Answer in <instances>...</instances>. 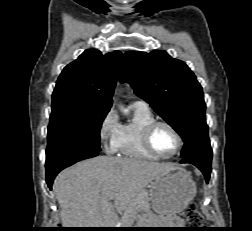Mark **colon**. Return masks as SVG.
Instances as JSON below:
<instances>
[{"mask_svg":"<svg viewBox=\"0 0 252 231\" xmlns=\"http://www.w3.org/2000/svg\"><path fill=\"white\" fill-rule=\"evenodd\" d=\"M186 221L192 227L201 226L204 222L202 215L198 212L195 205H190L186 214Z\"/></svg>","mask_w":252,"mask_h":231,"instance_id":"5ec220e1","label":"colon"}]
</instances>
